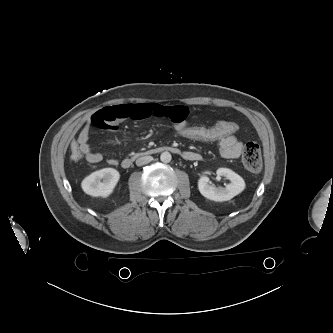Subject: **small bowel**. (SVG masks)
<instances>
[{"label": "small bowel", "mask_w": 333, "mask_h": 333, "mask_svg": "<svg viewBox=\"0 0 333 333\" xmlns=\"http://www.w3.org/2000/svg\"><path fill=\"white\" fill-rule=\"evenodd\" d=\"M188 109L179 105H162L159 103H137V104H119L108 106L95 112L87 123L83 126L77 137L84 158L90 163H99L103 160L102 153L92 151L89 145V134L91 126H96L111 132L118 129V124L126 119H146L158 117L169 120L173 125L188 124ZM219 152L226 159H236L241 155L243 144L235 134L227 136L220 141ZM184 158L196 160L199 155L193 152H185ZM110 165H117L116 158L107 159Z\"/></svg>", "instance_id": "obj_1"}]
</instances>
